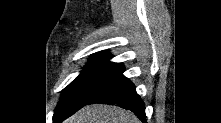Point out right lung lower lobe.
I'll list each match as a JSON object with an SVG mask.
<instances>
[{
  "instance_id": "obj_1",
  "label": "right lung lower lobe",
  "mask_w": 221,
  "mask_h": 123,
  "mask_svg": "<svg viewBox=\"0 0 221 123\" xmlns=\"http://www.w3.org/2000/svg\"><path fill=\"white\" fill-rule=\"evenodd\" d=\"M124 67L103 81L93 92L88 104L102 103L116 105L134 112L138 118L146 122L145 106L135 91L132 82L123 76ZM69 116L55 113L54 119L62 121Z\"/></svg>"
}]
</instances>
